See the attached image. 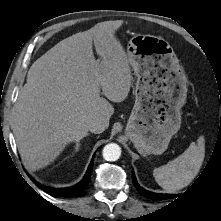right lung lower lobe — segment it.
<instances>
[{
    "label": "right lung lower lobe",
    "mask_w": 221,
    "mask_h": 221,
    "mask_svg": "<svg viewBox=\"0 0 221 221\" xmlns=\"http://www.w3.org/2000/svg\"><path fill=\"white\" fill-rule=\"evenodd\" d=\"M94 158V156H93ZM93 158H92V161L88 167V170L84 176V178L76 185L72 186V187H68V188H50V187H46V186H43L39 183H37L35 180H33L32 178V181L34 183H36V185L43 189L45 192H49L51 194H55L57 196H63V197H75L77 195H79L87 186H88V183L90 181V177H91V173H92V169H93Z\"/></svg>",
    "instance_id": "obj_1"
}]
</instances>
